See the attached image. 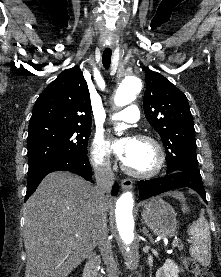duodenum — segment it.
Here are the masks:
<instances>
[{
	"label": "duodenum",
	"instance_id": "410a0bca",
	"mask_svg": "<svg viewBox=\"0 0 221 277\" xmlns=\"http://www.w3.org/2000/svg\"><path fill=\"white\" fill-rule=\"evenodd\" d=\"M100 265V258L98 256L91 257L84 268L82 277H96Z\"/></svg>",
	"mask_w": 221,
	"mask_h": 277
}]
</instances>
